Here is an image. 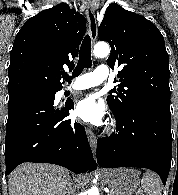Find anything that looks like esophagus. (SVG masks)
Instances as JSON below:
<instances>
[{"label": "esophagus", "instance_id": "34e87169", "mask_svg": "<svg viewBox=\"0 0 178 195\" xmlns=\"http://www.w3.org/2000/svg\"><path fill=\"white\" fill-rule=\"evenodd\" d=\"M87 18H88V26H89V32L92 42H95L97 39V21H96V15H95V6L93 3L87 4ZM87 137L92 149L93 154H95L96 146H97V138L95 134L92 132L90 128H86Z\"/></svg>", "mask_w": 178, "mask_h": 195}]
</instances>
